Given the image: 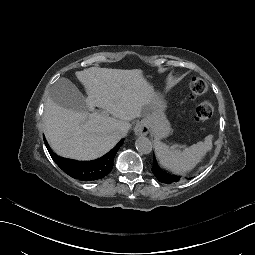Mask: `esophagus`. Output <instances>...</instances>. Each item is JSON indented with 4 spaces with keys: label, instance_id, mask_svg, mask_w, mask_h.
<instances>
[{
    "label": "esophagus",
    "instance_id": "obj_1",
    "mask_svg": "<svg viewBox=\"0 0 255 255\" xmlns=\"http://www.w3.org/2000/svg\"><path fill=\"white\" fill-rule=\"evenodd\" d=\"M135 135L137 136H146L149 133V125L145 120H141L134 127Z\"/></svg>",
    "mask_w": 255,
    "mask_h": 255
}]
</instances>
